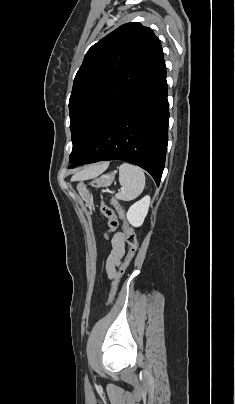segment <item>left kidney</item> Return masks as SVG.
<instances>
[{"label": "left kidney", "mask_w": 235, "mask_h": 404, "mask_svg": "<svg viewBox=\"0 0 235 404\" xmlns=\"http://www.w3.org/2000/svg\"><path fill=\"white\" fill-rule=\"evenodd\" d=\"M150 205V197L145 196L141 200L134 203L127 212V220L134 227H140L148 213Z\"/></svg>", "instance_id": "left-kidney-1"}]
</instances>
